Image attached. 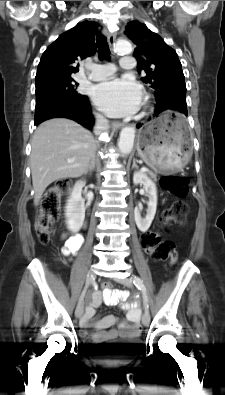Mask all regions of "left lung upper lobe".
Segmentation results:
<instances>
[{"instance_id":"left-lung-upper-lobe-1","label":"left lung upper lobe","mask_w":225,"mask_h":395,"mask_svg":"<svg viewBox=\"0 0 225 395\" xmlns=\"http://www.w3.org/2000/svg\"><path fill=\"white\" fill-rule=\"evenodd\" d=\"M125 34L137 45V68L146 73L141 80L155 90L156 100L179 99L187 107L185 77L176 51L139 21L129 22Z\"/></svg>"}]
</instances>
